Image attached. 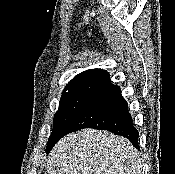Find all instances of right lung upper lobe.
<instances>
[{"instance_id": "right-lung-upper-lobe-1", "label": "right lung upper lobe", "mask_w": 175, "mask_h": 174, "mask_svg": "<svg viewBox=\"0 0 175 174\" xmlns=\"http://www.w3.org/2000/svg\"><path fill=\"white\" fill-rule=\"evenodd\" d=\"M107 71L101 69H89L76 75L63 90V95L76 93H91L100 84L109 79Z\"/></svg>"}]
</instances>
